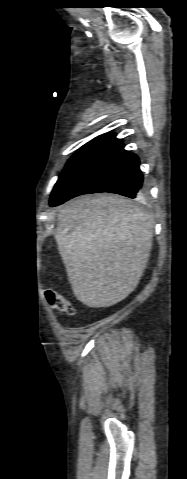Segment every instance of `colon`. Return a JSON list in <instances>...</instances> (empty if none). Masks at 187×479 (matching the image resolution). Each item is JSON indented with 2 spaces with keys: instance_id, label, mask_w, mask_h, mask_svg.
I'll list each match as a JSON object with an SVG mask.
<instances>
[{
  "instance_id": "1",
  "label": "colon",
  "mask_w": 187,
  "mask_h": 479,
  "mask_svg": "<svg viewBox=\"0 0 187 479\" xmlns=\"http://www.w3.org/2000/svg\"><path fill=\"white\" fill-rule=\"evenodd\" d=\"M46 301L51 305L57 312L65 315H74L76 313L75 306L65 295L48 289L45 291Z\"/></svg>"
}]
</instances>
